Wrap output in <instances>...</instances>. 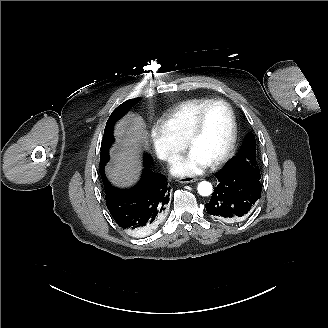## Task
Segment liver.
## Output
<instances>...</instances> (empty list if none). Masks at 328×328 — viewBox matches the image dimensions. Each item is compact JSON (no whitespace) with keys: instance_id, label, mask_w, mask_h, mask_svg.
Returning <instances> with one entry per match:
<instances>
[{"instance_id":"6515ba94","label":"liver","mask_w":328,"mask_h":328,"mask_svg":"<svg viewBox=\"0 0 328 328\" xmlns=\"http://www.w3.org/2000/svg\"><path fill=\"white\" fill-rule=\"evenodd\" d=\"M117 144L111 149L112 162L106 168L108 178L117 187L137 182L141 171L140 152L147 148L149 133L139 114L128 113L115 127Z\"/></svg>"}]
</instances>
